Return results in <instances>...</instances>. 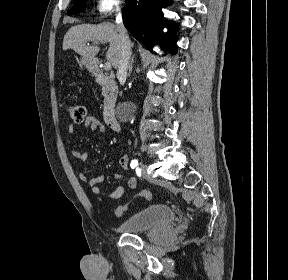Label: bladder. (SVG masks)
<instances>
[{
    "instance_id": "bladder-1",
    "label": "bladder",
    "mask_w": 288,
    "mask_h": 280,
    "mask_svg": "<svg viewBox=\"0 0 288 280\" xmlns=\"http://www.w3.org/2000/svg\"><path fill=\"white\" fill-rule=\"evenodd\" d=\"M176 219L173 208L166 204L147 207L123 221L118 230L123 233H140L168 226Z\"/></svg>"
}]
</instances>
